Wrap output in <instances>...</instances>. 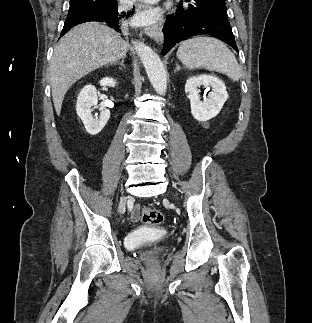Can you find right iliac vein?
Wrapping results in <instances>:
<instances>
[{"label": "right iliac vein", "mask_w": 312, "mask_h": 323, "mask_svg": "<svg viewBox=\"0 0 312 323\" xmlns=\"http://www.w3.org/2000/svg\"><path fill=\"white\" fill-rule=\"evenodd\" d=\"M125 201L126 197L121 198L120 203H119V212L123 213L125 210Z\"/></svg>", "instance_id": "obj_1"}]
</instances>
